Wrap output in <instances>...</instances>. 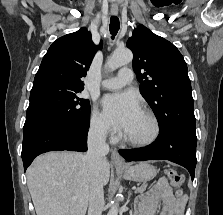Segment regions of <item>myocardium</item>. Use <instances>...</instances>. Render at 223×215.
I'll list each match as a JSON object with an SVG mask.
<instances>
[{
  "mask_svg": "<svg viewBox=\"0 0 223 215\" xmlns=\"http://www.w3.org/2000/svg\"><path fill=\"white\" fill-rule=\"evenodd\" d=\"M140 111L148 118L151 124L150 135L145 139H133L125 137L123 133H119V135L115 139L117 143L133 148H146L151 146L157 140L160 132V126L156 116L151 110L147 108H141Z\"/></svg>",
  "mask_w": 223,
  "mask_h": 215,
  "instance_id": "myocardium-1",
  "label": "myocardium"
}]
</instances>
